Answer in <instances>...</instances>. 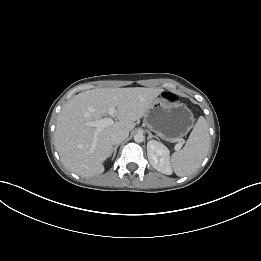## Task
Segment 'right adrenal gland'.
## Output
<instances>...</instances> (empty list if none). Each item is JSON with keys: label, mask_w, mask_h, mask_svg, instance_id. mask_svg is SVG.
<instances>
[{"label": "right adrenal gland", "mask_w": 261, "mask_h": 261, "mask_svg": "<svg viewBox=\"0 0 261 261\" xmlns=\"http://www.w3.org/2000/svg\"><path fill=\"white\" fill-rule=\"evenodd\" d=\"M118 147H119V144L113 147V157H112V160H113V159L115 158V156H116L117 148H118Z\"/></svg>", "instance_id": "1"}]
</instances>
